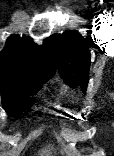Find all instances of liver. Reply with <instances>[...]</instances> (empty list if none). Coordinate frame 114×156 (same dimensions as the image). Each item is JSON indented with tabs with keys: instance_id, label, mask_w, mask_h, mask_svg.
Returning a JSON list of instances; mask_svg holds the SVG:
<instances>
[{
	"instance_id": "obj_1",
	"label": "liver",
	"mask_w": 114,
	"mask_h": 156,
	"mask_svg": "<svg viewBox=\"0 0 114 156\" xmlns=\"http://www.w3.org/2000/svg\"><path fill=\"white\" fill-rule=\"evenodd\" d=\"M39 156H51V150L50 149H44L39 153Z\"/></svg>"
}]
</instances>
